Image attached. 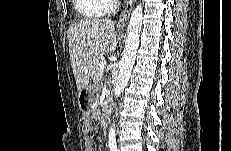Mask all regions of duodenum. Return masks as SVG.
Wrapping results in <instances>:
<instances>
[{"instance_id": "obj_1", "label": "duodenum", "mask_w": 231, "mask_h": 151, "mask_svg": "<svg viewBox=\"0 0 231 151\" xmlns=\"http://www.w3.org/2000/svg\"><path fill=\"white\" fill-rule=\"evenodd\" d=\"M109 110H110V97L107 96L105 99L104 108H103L104 115H108Z\"/></svg>"}]
</instances>
